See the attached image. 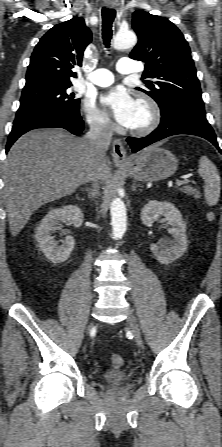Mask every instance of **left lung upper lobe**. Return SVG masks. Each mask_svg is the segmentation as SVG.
I'll use <instances>...</instances> for the list:
<instances>
[{
    "label": "left lung upper lobe",
    "instance_id": "obj_1",
    "mask_svg": "<svg viewBox=\"0 0 222 447\" xmlns=\"http://www.w3.org/2000/svg\"><path fill=\"white\" fill-rule=\"evenodd\" d=\"M138 43L130 58L144 62L145 76L155 78L136 89L151 96L161 114L173 106L205 112L191 51L180 30L167 18L143 10L133 13Z\"/></svg>",
    "mask_w": 222,
    "mask_h": 447
}]
</instances>
